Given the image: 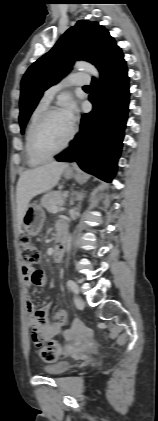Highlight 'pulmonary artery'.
<instances>
[{"mask_svg": "<svg viewBox=\"0 0 158 421\" xmlns=\"http://www.w3.org/2000/svg\"><path fill=\"white\" fill-rule=\"evenodd\" d=\"M89 82V76L84 73H70L66 77H64L59 83L48 88L44 92L41 101L45 103H50L53 97L56 95V93L59 92L62 88L71 85H85Z\"/></svg>", "mask_w": 158, "mask_h": 421, "instance_id": "1", "label": "pulmonary artery"}]
</instances>
